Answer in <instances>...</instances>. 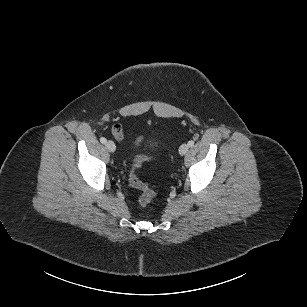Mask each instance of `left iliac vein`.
<instances>
[{"label":"left iliac vein","mask_w":307,"mask_h":307,"mask_svg":"<svg viewBox=\"0 0 307 307\" xmlns=\"http://www.w3.org/2000/svg\"><path fill=\"white\" fill-rule=\"evenodd\" d=\"M188 150H189L188 144L184 143L180 146L179 153L180 155H185L188 152Z\"/></svg>","instance_id":"4c4485c4"}]
</instances>
